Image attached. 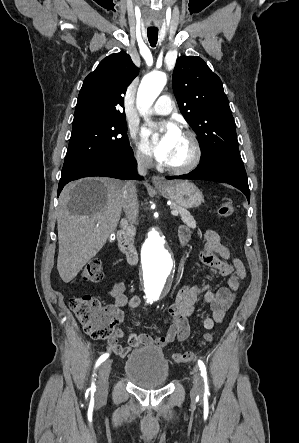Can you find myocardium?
I'll list each match as a JSON object with an SVG mask.
<instances>
[{"label": "myocardium", "instance_id": "1", "mask_svg": "<svg viewBox=\"0 0 299 443\" xmlns=\"http://www.w3.org/2000/svg\"><path fill=\"white\" fill-rule=\"evenodd\" d=\"M182 135L185 136L191 146V155L189 160L180 166H172L164 164V168L175 174H185L194 170L200 163L202 158V148L197 135L191 130H184Z\"/></svg>", "mask_w": 299, "mask_h": 443}]
</instances>
